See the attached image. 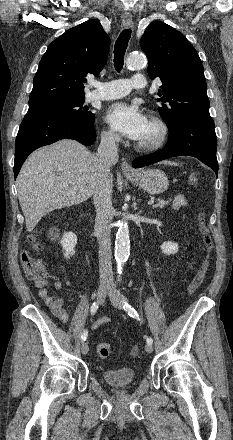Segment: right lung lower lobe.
Segmentation results:
<instances>
[{
  "label": "right lung lower lobe",
  "instance_id": "right-lung-lower-lobe-1",
  "mask_svg": "<svg viewBox=\"0 0 233 440\" xmlns=\"http://www.w3.org/2000/svg\"><path fill=\"white\" fill-rule=\"evenodd\" d=\"M65 138L91 145L96 140V134L93 125H85L72 118L48 112H27L15 143V177L31 152Z\"/></svg>",
  "mask_w": 233,
  "mask_h": 440
}]
</instances>
